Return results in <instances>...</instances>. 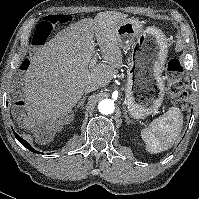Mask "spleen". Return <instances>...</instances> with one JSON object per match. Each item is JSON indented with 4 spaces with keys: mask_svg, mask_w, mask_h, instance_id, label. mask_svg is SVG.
I'll list each match as a JSON object with an SVG mask.
<instances>
[{
    "mask_svg": "<svg viewBox=\"0 0 199 199\" xmlns=\"http://www.w3.org/2000/svg\"><path fill=\"white\" fill-rule=\"evenodd\" d=\"M183 127V116L179 108L171 107L147 128L141 131L146 149L153 154L170 149L179 137Z\"/></svg>",
    "mask_w": 199,
    "mask_h": 199,
    "instance_id": "obj_1",
    "label": "spleen"
}]
</instances>
